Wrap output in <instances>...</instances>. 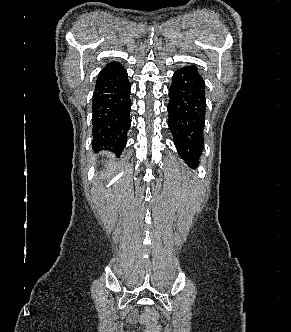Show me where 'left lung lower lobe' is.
<instances>
[{
    "mask_svg": "<svg viewBox=\"0 0 291 332\" xmlns=\"http://www.w3.org/2000/svg\"><path fill=\"white\" fill-rule=\"evenodd\" d=\"M168 126L179 155L187 162H198L204 148L206 98L205 83L194 65L175 71L169 88ZM187 142L192 151L180 146Z\"/></svg>",
    "mask_w": 291,
    "mask_h": 332,
    "instance_id": "0a47b994",
    "label": "left lung lower lobe"
}]
</instances>
